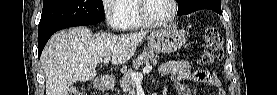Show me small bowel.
<instances>
[{"mask_svg": "<svg viewBox=\"0 0 277 95\" xmlns=\"http://www.w3.org/2000/svg\"><path fill=\"white\" fill-rule=\"evenodd\" d=\"M158 72L162 76L169 75L174 83L176 93L179 95H190V90L183 83L184 80H189L202 85H211L219 87L221 82L215 75L204 70L192 71L189 63L181 60H169L162 63ZM217 94H224L219 91Z\"/></svg>", "mask_w": 277, "mask_h": 95, "instance_id": "c3829d8e", "label": "small bowel"}]
</instances>
